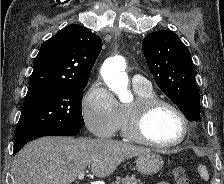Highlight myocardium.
Returning <instances> with one entry per match:
<instances>
[{"label": "myocardium", "instance_id": "obj_1", "mask_svg": "<svg viewBox=\"0 0 224 184\" xmlns=\"http://www.w3.org/2000/svg\"><path fill=\"white\" fill-rule=\"evenodd\" d=\"M171 109L182 123L181 136L170 143H158L153 141L146 133V124L152 113L159 107ZM189 121L184 112L173 102L152 97L135 101L131 104L128 112L126 134L131 140L157 149H170L181 144L189 134Z\"/></svg>", "mask_w": 224, "mask_h": 184}]
</instances>
